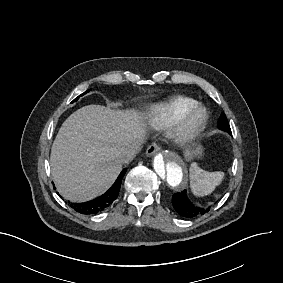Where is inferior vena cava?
<instances>
[{
    "label": "inferior vena cava",
    "instance_id": "1",
    "mask_svg": "<svg viewBox=\"0 0 283 283\" xmlns=\"http://www.w3.org/2000/svg\"><path fill=\"white\" fill-rule=\"evenodd\" d=\"M140 147L138 143H133L127 146L121 154H119L118 158L122 163H127L131 161L136 154L139 152Z\"/></svg>",
    "mask_w": 283,
    "mask_h": 283
}]
</instances>
